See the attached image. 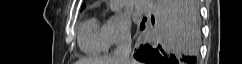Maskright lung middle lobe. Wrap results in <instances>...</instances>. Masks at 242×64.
<instances>
[{"mask_svg":"<svg viewBox=\"0 0 242 64\" xmlns=\"http://www.w3.org/2000/svg\"><path fill=\"white\" fill-rule=\"evenodd\" d=\"M144 21H145V19L143 20V22H142V24H141V25H143V24H144Z\"/></svg>","mask_w":242,"mask_h":64,"instance_id":"1","label":"right lung middle lobe"}]
</instances>
